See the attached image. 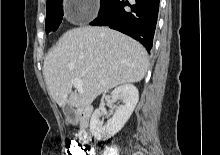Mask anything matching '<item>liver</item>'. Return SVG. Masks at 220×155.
<instances>
[{"instance_id": "1", "label": "liver", "mask_w": 220, "mask_h": 155, "mask_svg": "<svg viewBox=\"0 0 220 155\" xmlns=\"http://www.w3.org/2000/svg\"><path fill=\"white\" fill-rule=\"evenodd\" d=\"M148 66L139 42L106 27L86 26L63 34L45 58L43 75L59 107L83 108L107 90L141 81ZM75 78L82 80L78 93L70 91Z\"/></svg>"}]
</instances>
